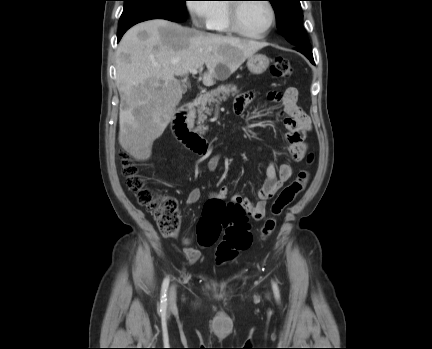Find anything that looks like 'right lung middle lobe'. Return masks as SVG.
Listing matches in <instances>:
<instances>
[{
	"label": "right lung middle lobe",
	"instance_id": "1",
	"mask_svg": "<svg viewBox=\"0 0 432 349\" xmlns=\"http://www.w3.org/2000/svg\"><path fill=\"white\" fill-rule=\"evenodd\" d=\"M123 13L119 27L149 19H166L182 22L187 18V0H123Z\"/></svg>",
	"mask_w": 432,
	"mask_h": 349
}]
</instances>
